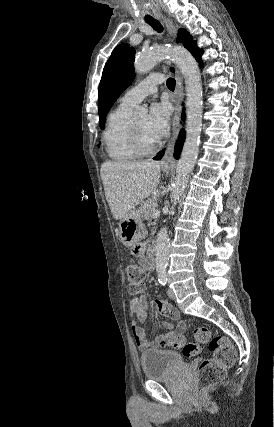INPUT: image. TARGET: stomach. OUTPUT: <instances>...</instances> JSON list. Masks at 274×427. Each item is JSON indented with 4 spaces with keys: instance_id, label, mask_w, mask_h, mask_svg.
Here are the masks:
<instances>
[{
    "instance_id": "obj_1",
    "label": "stomach",
    "mask_w": 274,
    "mask_h": 427,
    "mask_svg": "<svg viewBox=\"0 0 274 427\" xmlns=\"http://www.w3.org/2000/svg\"><path fill=\"white\" fill-rule=\"evenodd\" d=\"M118 235L123 243V245H134L140 239H143L147 235L144 223H142L138 212L133 210L131 214H126L119 223Z\"/></svg>"
}]
</instances>
